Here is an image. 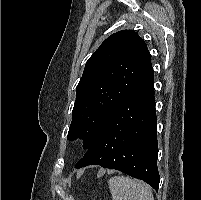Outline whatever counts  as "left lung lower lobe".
Instances as JSON below:
<instances>
[{
	"label": "left lung lower lobe",
	"instance_id": "1",
	"mask_svg": "<svg viewBox=\"0 0 201 200\" xmlns=\"http://www.w3.org/2000/svg\"><path fill=\"white\" fill-rule=\"evenodd\" d=\"M157 117L153 70L110 112L87 152L75 165L97 164L159 188Z\"/></svg>",
	"mask_w": 201,
	"mask_h": 200
}]
</instances>
